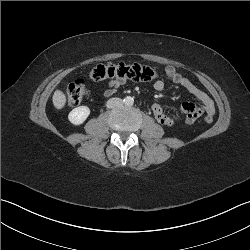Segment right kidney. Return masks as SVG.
Segmentation results:
<instances>
[{
	"mask_svg": "<svg viewBox=\"0 0 250 250\" xmlns=\"http://www.w3.org/2000/svg\"><path fill=\"white\" fill-rule=\"evenodd\" d=\"M89 115H90L89 107H87V106H79V107L73 109L69 113L68 119L72 124L80 125L87 119V117Z\"/></svg>",
	"mask_w": 250,
	"mask_h": 250,
	"instance_id": "right-kidney-1",
	"label": "right kidney"
}]
</instances>
